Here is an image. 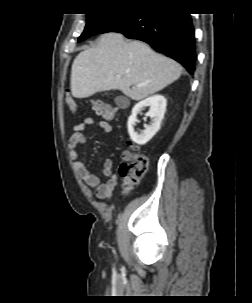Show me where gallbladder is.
Listing matches in <instances>:
<instances>
[{"mask_svg":"<svg viewBox=\"0 0 252 303\" xmlns=\"http://www.w3.org/2000/svg\"><path fill=\"white\" fill-rule=\"evenodd\" d=\"M126 100L127 99L124 96H117L114 101L117 106L123 108L125 106Z\"/></svg>","mask_w":252,"mask_h":303,"instance_id":"gallbladder-1","label":"gallbladder"}]
</instances>
